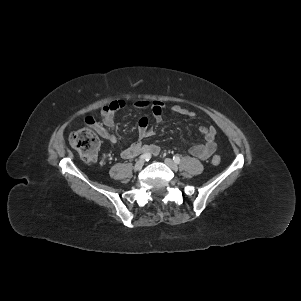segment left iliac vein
Masks as SVG:
<instances>
[{
	"instance_id": "4c4485c4",
	"label": "left iliac vein",
	"mask_w": 301,
	"mask_h": 301,
	"mask_svg": "<svg viewBox=\"0 0 301 301\" xmlns=\"http://www.w3.org/2000/svg\"><path fill=\"white\" fill-rule=\"evenodd\" d=\"M164 161H165V164L172 170H174V171L178 170V166L172 159L166 158Z\"/></svg>"
}]
</instances>
